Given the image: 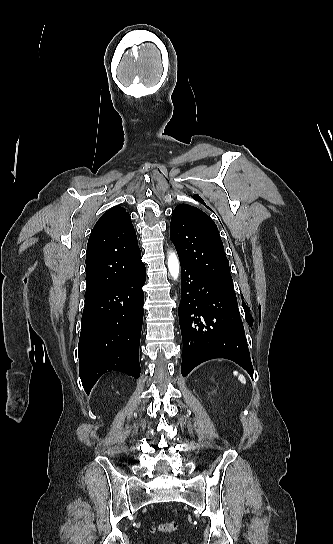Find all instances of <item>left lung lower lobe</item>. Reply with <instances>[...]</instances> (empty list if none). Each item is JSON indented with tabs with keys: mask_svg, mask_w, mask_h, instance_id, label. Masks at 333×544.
I'll return each mask as SVG.
<instances>
[{
	"mask_svg": "<svg viewBox=\"0 0 333 544\" xmlns=\"http://www.w3.org/2000/svg\"><path fill=\"white\" fill-rule=\"evenodd\" d=\"M181 264V301L178 309L183 339L182 375L200 363L225 358L243 367L251 376L252 363L244 326L232 298L205 275Z\"/></svg>",
	"mask_w": 333,
	"mask_h": 544,
	"instance_id": "1",
	"label": "left lung lower lobe"
}]
</instances>
